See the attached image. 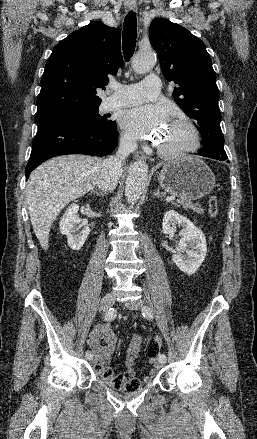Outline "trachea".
<instances>
[{"label":"trachea","mask_w":257,"mask_h":439,"mask_svg":"<svg viewBox=\"0 0 257 439\" xmlns=\"http://www.w3.org/2000/svg\"><path fill=\"white\" fill-rule=\"evenodd\" d=\"M136 37H137V20L134 12H129L124 20L123 25V53L126 61H129L132 57L135 46H136Z\"/></svg>","instance_id":"obj_1"}]
</instances>
